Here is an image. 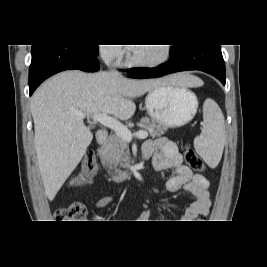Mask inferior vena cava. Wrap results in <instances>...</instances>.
Listing matches in <instances>:
<instances>
[{
	"label": "inferior vena cava",
	"mask_w": 267,
	"mask_h": 267,
	"mask_svg": "<svg viewBox=\"0 0 267 267\" xmlns=\"http://www.w3.org/2000/svg\"><path fill=\"white\" fill-rule=\"evenodd\" d=\"M112 59H113L112 55H107L105 57V63L109 66L110 63L112 62ZM110 74L112 76H120V73L115 69H110Z\"/></svg>",
	"instance_id": "obj_1"
}]
</instances>
